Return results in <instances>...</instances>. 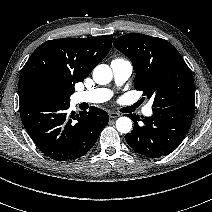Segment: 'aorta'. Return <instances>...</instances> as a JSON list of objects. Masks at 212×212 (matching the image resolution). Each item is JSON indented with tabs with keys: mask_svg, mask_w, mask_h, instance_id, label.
I'll return each mask as SVG.
<instances>
[{
	"mask_svg": "<svg viewBox=\"0 0 212 212\" xmlns=\"http://www.w3.org/2000/svg\"><path fill=\"white\" fill-rule=\"evenodd\" d=\"M113 77L111 68L106 64H100L93 70V80L99 85H106ZM116 129L120 133L127 134L132 129V120L129 117H120L116 120Z\"/></svg>",
	"mask_w": 212,
	"mask_h": 212,
	"instance_id": "1",
	"label": "aorta"
}]
</instances>
